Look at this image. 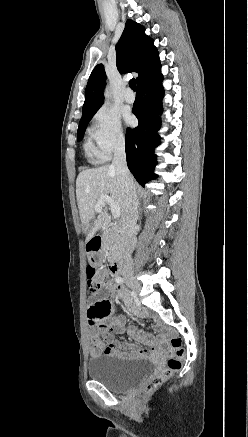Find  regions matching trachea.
Masks as SVG:
<instances>
[{"instance_id": "trachea-1", "label": "trachea", "mask_w": 248, "mask_h": 437, "mask_svg": "<svg viewBox=\"0 0 248 437\" xmlns=\"http://www.w3.org/2000/svg\"><path fill=\"white\" fill-rule=\"evenodd\" d=\"M129 86H130V88L133 90V91H136V81H135V79L134 78H132V79H130V81H129Z\"/></svg>"}]
</instances>
